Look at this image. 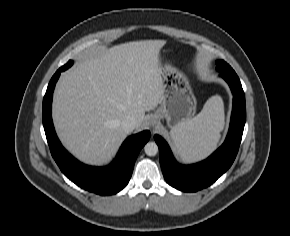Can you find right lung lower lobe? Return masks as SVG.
<instances>
[{"label":"right lung lower lobe","instance_id":"98d812e1","mask_svg":"<svg viewBox=\"0 0 290 236\" xmlns=\"http://www.w3.org/2000/svg\"><path fill=\"white\" fill-rule=\"evenodd\" d=\"M62 71L59 69L51 78L43 99L42 120L51 154L63 174L76 185L99 195L115 194L128 184L136 158L149 140L150 132L128 137L114 162L107 167H91L77 161L61 145L51 117L53 90Z\"/></svg>","mask_w":290,"mask_h":236}]
</instances>
